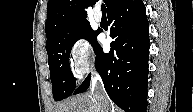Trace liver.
Returning a JSON list of instances; mask_svg holds the SVG:
<instances>
[{"label": "liver", "instance_id": "obj_1", "mask_svg": "<svg viewBox=\"0 0 193 112\" xmlns=\"http://www.w3.org/2000/svg\"><path fill=\"white\" fill-rule=\"evenodd\" d=\"M109 103V102H108ZM91 92L58 103L54 112H101ZM114 112L109 104V112Z\"/></svg>", "mask_w": 193, "mask_h": 112}]
</instances>
